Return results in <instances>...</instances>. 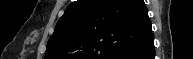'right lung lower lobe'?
<instances>
[{
    "label": "right lung lower lobe",
    "mask_w": 193,
    "mask_h": 59,
    "mask_svg": "<svg viewBox=\"0 0 193 59\" xmlns=\"http://www.w3.org/2000/svg\"><path fill=\"white\" fill-rule=\"evenodd\" d=\"M154 40L153 34H150L143 42L130 49L116 59H154Z\"/></svg>",
    "instance_id": "1"
}]
</instances>
